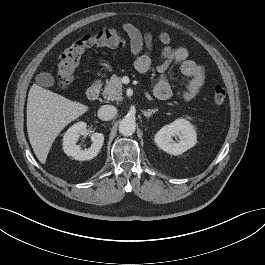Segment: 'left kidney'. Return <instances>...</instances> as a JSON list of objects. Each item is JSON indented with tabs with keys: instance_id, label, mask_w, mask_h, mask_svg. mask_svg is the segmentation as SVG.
Returning <instances> with one entry per match:
<instances>
[{
	"instance_id": "left-kidney-1",
	"label": "left kidney",
	"mask_w": 265,
	"mask_h": 265,
	"mask_svg": "<svg viewBox=\"0 0 265 265\" xmlns=\"http://www.w3.org/2000/svg\"><path fill=\"white\" fill-rule=\"evenodd\" d=\"M172 137H178L175 142ZM155 143L171 155H179L192 148L197 142V134L192 124L185 119H177L162 127L155 135Z\"/></svg>"
}]
</instances>
